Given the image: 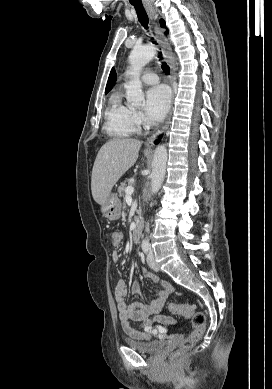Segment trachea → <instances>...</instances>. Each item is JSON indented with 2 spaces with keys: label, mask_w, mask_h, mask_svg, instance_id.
<instances>
[{
  "label": "trachea",
  "mask_w": 272,
  "mask_h": 389,
  "mask_svg": "<svg viewBox=\"0 0 272 389\" xmlns=\"http://www.w3.org/2000/svg\"><path fill=\"white\" fill-rule=\"evenodd\" d=\"M132 5L134 6V8L136 10L139 22L141 23V25L143 27H145V29H148L149 20H148L147 13H146L143 5L142 4H132ZM159 58L163 59L161 52H160ZM161 67L166 75L170 74V67L166 64V62H162Z\"/></svg>",
  "instance_id": "obj_1"
}]
</instances>
